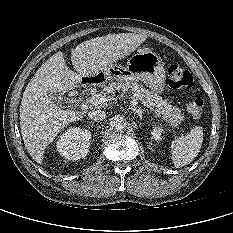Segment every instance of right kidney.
Masks as SVG:
<instances>
[{"instance_id": "ca27d5eb", "label": "right kidney", "mask_w": 233, "mask_h": 233, "mask_svg": "<svg viewBox=\"0 0 233 233\" xmlns=\"http://www.w3.org/2000/svg\"><path fill=\"white\" fill-rule=\"evenodd\" d=\"M91 139L89 130L71 127L59 137L57 150L68 160H79L88 154Z\"/></svg>"}]
</instances>
